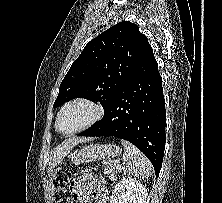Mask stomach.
<instances>
[{
    "mask_svg": "<svg viewBox=\"0 0 222 203\" xmlns=\"http://www.w3.org/2000/svg\"><path fill=\"white\" fill-rule=\"evenodd\" d=\"M121 150L114 144L88 145L75 153L74 163L79 165L84 162H92L99 159H110L118 156Z\"/></svg>",
    "mask_w": 222,
    "mask_h": 203,
    "instance_id": "1",
    "label": "stomach"
}]
</instances>
